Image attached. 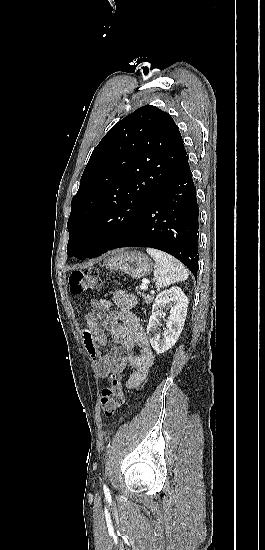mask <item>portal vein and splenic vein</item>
<instances>
[{
    "mask_svg": "<svg viewBox=\"0 0 265 550\" xmlns=\"http://www.w3.org/2000/svg\"><path fill=\"white\" fill-rule=\"evenodd\" d=\"M147 288H148L147 283H145V282L142 283L141 289H142V290H147Z\"/></svg>",
    "mask_w": 265,
    "mask_h": 550,
    "instance_id": "18ae733b",
    "label": "portal vein and splenic vein"
}]
</instances>
